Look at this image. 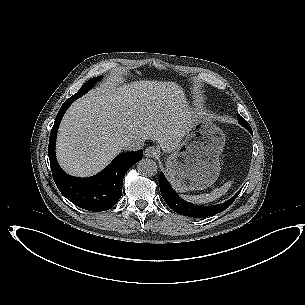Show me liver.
Returning a JSON list of instances; mask_svg holds the SVG:
<instances>
[{
	"label": "liver",
	"mask_w": 305,
	"mask_h": 305,
	"mask_svg": "<svg viewBox=\"0 0 305 305\" xmlns=\"http://www.w3.org/2000/svg\"><path fill=\"white\" fill-rule=\"evenodd\" d=\"M167 86L181 93L176 84ZM192 118L185 105L154 110L140 82L94 91L73 102L65 113L57 136V160L68 174L89 177L104 169L129 138L151 139L171 152L181 143Z\"/></svg>",
	"instance_id": "6515ba94"
}]
</instances>
